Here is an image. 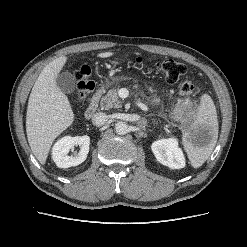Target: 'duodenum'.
<instances>
[{"label": "duodenum", "mask_w": 247, "mask_h": 247, "mask_svg": "<svg viewBox=\"0 0 247 247\" xmlns=\"http://www.w3.org/2000/svg\"><path fill=\"white\" fill-rule=\"evenodd\" d=\"M102 94V89L98 88L96 89V91L94 92L91 101L85 111V118L86 119H91L95 113L97 112V108H98V102L100 99V96Z\"/></svg>", "instance_id": "410a0bca"}]
</instances>
